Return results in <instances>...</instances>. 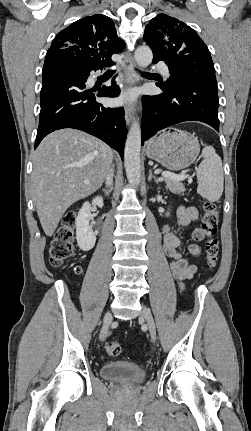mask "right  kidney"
Here are the masks:
<instances>
[{
  "label": "right kidney",
  "mask_w": 251,
  "mask_h": 431,
  "mask_svg": "<svg viewBox=\"0 0 251 431\" xmlns=\"http://www.w3.org/2000/svg\"><path fill=\"white\" fill-rule=\"evenodd\" d=\"M92 205H96L99 208L103 207V199L100 196L95 197L92 200ZM91 204L85 202L81 209L79 210L78 216L76 218V240L79 248L83 251L91 250L96 242V235L89 225L91 214Z\"/></svg>",
  "instance_id": "obj_1"
}]
</instances>
